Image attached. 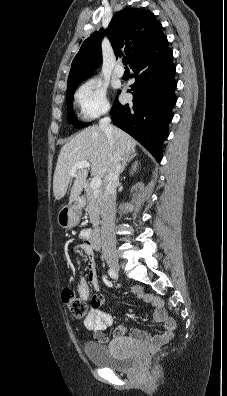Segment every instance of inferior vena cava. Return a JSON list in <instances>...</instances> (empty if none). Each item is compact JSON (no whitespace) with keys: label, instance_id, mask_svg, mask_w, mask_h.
Masks as SVG:
<instances>
[{"label":"inferior vena cava","instance_id":"602c4592","mask_svg":"<svg viewBox=\"0 0 227 396\" xmlns=\"http://www.w3.org/2000/svg\"><path fill=\"white\" fill-rule=\"evenodd\" d=\"M110 122V117L104 116L99 121V127L105 133L109 142L113 143L114 129ZM121 160L123 161V159L118 155H114L112 157V166L108 169L104 178L101 211V241L104 256L116 255V238L114 226L116 214V188L119 185Z\"/></svg>","mask_w":227,"mask_h":396}]
</instances>
